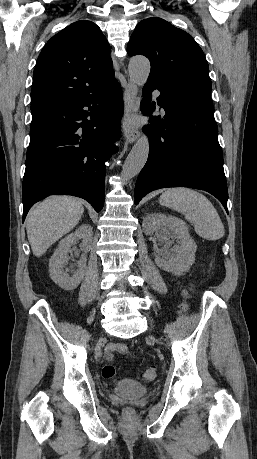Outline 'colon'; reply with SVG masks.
<instances>
[{"label":"colon","mask_w":257,"mask_h":459,"mask_svg":"<svg viewBox=\"0 0 257 459\" xmlns=\"http://www.w3.org/2000/svg\"><path fill=\"white\" fill-rule=\"evenodd\" d=\"M184 297L185 298L189 297V292L188 291L184 292ZM182 308L183 309L187 308L185 303L182 305ZM115 374H116V369H115V366L113 364H106V365L103 366V368H102V376L105 379H113L115 377ZM156 377H157V369H156L155 366H149L148 368L143 370L142 373H141V379L143 381H146V382H152V381H154L156 379ZM126 414L127 415H132L131 410L127 409L126 410Z\"/></svg>","instance_id":"colon-1"}]
</instances>
